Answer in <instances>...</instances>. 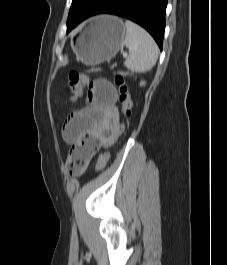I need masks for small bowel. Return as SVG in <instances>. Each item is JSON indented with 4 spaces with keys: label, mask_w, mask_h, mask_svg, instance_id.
<instances>
[{
    "label": "small bowel",
    "mask_w": 227,
    "mask_h": 265,
    "mask_svg": "<svg viewBox=\"0 0 227 265\" xmlns=\"http://www.w3.org/2000/svg\"><path fill=\"white\" fill-rule=\"evenodd\" d=\"M116 96L110 82L103 79L94 81L87 91L88 105L71 113L63 126V139L86 156L83 169L120 133Z\"/></svg>",
    "instance_id": "small-bowel-1"
}]
</instances>
